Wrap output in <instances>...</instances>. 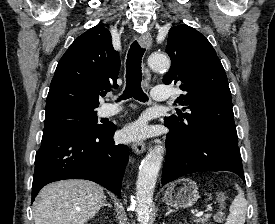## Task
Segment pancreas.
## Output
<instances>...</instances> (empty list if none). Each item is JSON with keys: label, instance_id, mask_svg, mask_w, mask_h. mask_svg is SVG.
Instances as JSON below:
<instances>
[{"label": "pancreas", "instance_id": "obj_1", "mask_svg": "<svg viewBox=\"0 0 275 224\" xmlns=\"http://www.w3.org/2000/svg\"><path fill=\"white\" fill-rule=\"evenodd\" d=\"M209 218H210V215H205V216H203V217L197 218V219H196V222L205 224V223H208V222H209Z\"/></svg>", "mask_w": 275, "mask_h": 224}]
</instances>
